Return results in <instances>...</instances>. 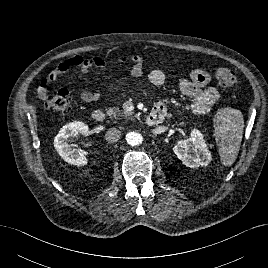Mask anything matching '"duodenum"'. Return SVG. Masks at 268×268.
Instances as JSON below:
<instances>
[{
  "label": "duodenum",
  "mask_w": 268,
  "mask_h": 268,
  "mask_svg": "<svg viewBox=\"0 0 268 268\" xmlns=\"http://www.w3.org/2000/svg\"><path fill=\"white\" fill-rule=\"evenodd\" d=\"M165 114L166 113L164 111H161V110L151 111L146 118V124L148 126L158 125L163 120ZM105 118H106L105 114L101 110H96L93 113V120L97 123H103L105 121Z\"/></svg>",
  "instance_id": "obj_1"
}]
</instances>
